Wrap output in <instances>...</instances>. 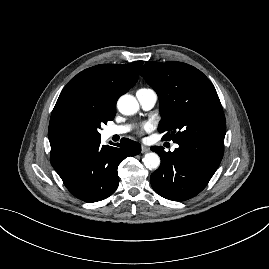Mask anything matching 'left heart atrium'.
<instances>
[{
    "label": "left heart atrium",
    "mask_w": 269,
    "mask_h": 269,
    "mask_svg": "<svg viewBox=\"0 0 269 269\" xmlns=\"http://www.w3.org/2000/svg\"><path fill=\"white\" fill-rule=\"evenodd\" d=\"M151 128V124L150 123H145L142 125V129H150Z\"/></svg>",
    "instance_id": "1"
}]
</instances>
